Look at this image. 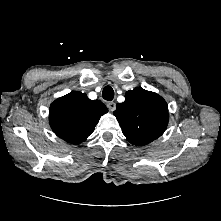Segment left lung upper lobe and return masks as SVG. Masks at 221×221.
<instances>
[{
	"mask_svg": "<svg viewBox=\"0 0 221 221\" xmlns=\"http://www.w3.org/2000/svg\"><path fill=\"white\" fill-rule=\"evenodd\" d=\"M116 108L114 115L131 144L146 145L161 136L167 127V103L154 92L139 87L127 91L125 101Z\"/></svg>",
	"mask_w": 221,
	"mask_h": 221,
	"instance_id": "5c2ea615",
	"label": "left lung upper lobe"
}]
</instances>
